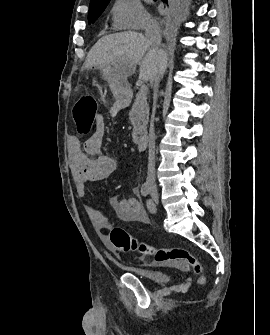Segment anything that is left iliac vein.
<instances>
[{"label":"left iliac vein","instance_id":"1","mask_svg":"<svg viewBox=\"0 0 270 335\" xmlns=\"http://www.w3.org/2000/svg\"><path fill=\"white\" fill-rule=\"evenodd\" d=\"M152 200H153V211L152 212H155L156 211V204H158V194L157 193H152Z\"/></svg>","mask_w":270,"mask_h":335}]
</instances>
